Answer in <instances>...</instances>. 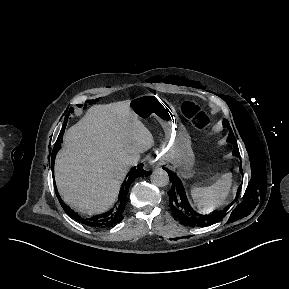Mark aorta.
Wrapping results in <instances>:
<instances>
[{
	"instance_id": "1",
	"label": "aorta",
	"mask_w": 289,
	"mask_h": 289,
	"mask_svg": "<svg viewBox=\"0 0 289 289\" xmlns=\"http://www.w3.org/2000/svg\"><path fill=\"white\" fill-rule=\"evenodd\" d=\"M151 183L157 187H164L169 183L168 173L162 169H155L150 175Z\"/></svg>"
}]
</instances>
